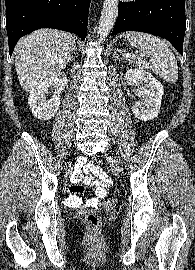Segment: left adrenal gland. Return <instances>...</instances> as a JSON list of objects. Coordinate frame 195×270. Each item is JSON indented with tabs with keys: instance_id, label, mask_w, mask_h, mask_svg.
<instances>
[{
	"instance_id": "obj_1",
	"label": "left adrenal gland",
	"mask_w": 195,
	"mask_h": 270,
	"mask_svg": "<svg viewBox=\"0 0 195 270\" xmlns=\"http://www.w3.org/2000/svg\"><path fill=\"white\" fill-rule=\"evenodd\" d=\"M113 56H114V58H118V59H119L118 50H115V51H114ZM119 60L122 61V59H119Z\"/></svg>"
}]
</instances>
